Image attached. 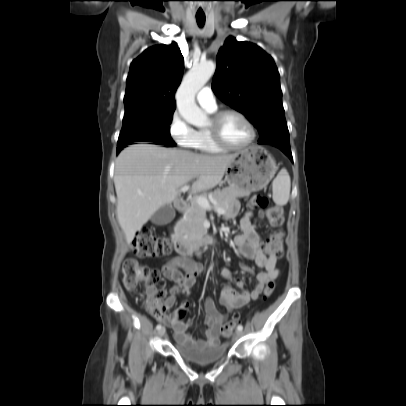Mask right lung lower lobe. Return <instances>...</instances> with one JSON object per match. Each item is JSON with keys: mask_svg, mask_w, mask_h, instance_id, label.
Wrapping results in <instances>:
<instances>
[{"mask_svg": "<svg viewBox=\"0 0 406 406\" xmlns=\"http://www.w3.org/2000/svg\"><path fill=\"white\" fill-rule=\"evenodd\" d=\"M166 147H170V146H166ZM122 149H120V150H117V153H119L120 151H121Z\"/></svg>", "mask_w": 406, "mask_h": 406, "instance_id": "1", "label": "right lung lower lobe"}]
</instances>
